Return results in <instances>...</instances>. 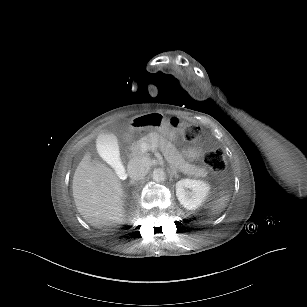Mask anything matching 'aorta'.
<instances>
[{
	"label": "aorta",
	"mask_w": 307,
	"mask_h": 307,
	"mask_svg": "<svg viewBox=\"0 0 307 307\" xmlns=\"http://www.w3.org/2000/svg\"><path fill=\"white\" fill-rule=\"evenodd\" d=\"M167 178V175L163 169H156L153 171V180L157 183L164 182Z\"/></svg>",
	"instance_id": "1"
}]
</instances>
